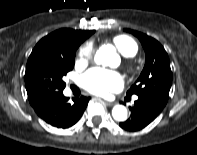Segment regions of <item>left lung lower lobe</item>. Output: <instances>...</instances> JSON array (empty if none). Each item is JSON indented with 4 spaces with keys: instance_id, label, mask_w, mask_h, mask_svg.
I'll list each match as a JSON object with an SVG mask.
<instances>
[{
    "instance_id": "obj_1",
    "label": "left lung lower lobe",
    "mask_w": 197,
    "mask_h": 155,
    "mask_svg": "<svg viewBox=\"0 0 197 155\" xmlns=\"http://www.w3.org/2000/svg\"><path fill=\"white\" fill-rule=\"evenodd\" d=\"M163 106L146 98L138 97L130 107L131 118L121 122L120 126L128 131H137L151 123L163 110Z\"/></svg>"
}]
</instances>
